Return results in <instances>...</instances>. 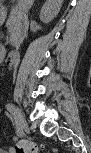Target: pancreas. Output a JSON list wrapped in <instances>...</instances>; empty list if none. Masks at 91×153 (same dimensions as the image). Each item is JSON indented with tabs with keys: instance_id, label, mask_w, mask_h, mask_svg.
<instances>
[{
	"instance_id": "obj_1",
	"label": "pancreas",
	"mask_w": 91,
	"mask_h": 153,
	"mask_svg": "<svg viewBox=\"0 0 91 153\" xmlns=\"http://www.w3.org/2000/svg\"><path fill=\"white\" fill-rule=\"evenodd\" d=\"M6 27L8 28V32L10 34L11 45H17L18 41L24 35L22 18L13 11L7 20Z\"/></svg>"
}]
</instances>
